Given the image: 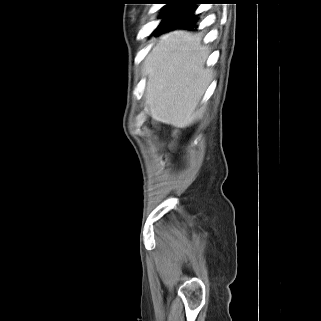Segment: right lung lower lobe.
Instances as JSON below:
<instances>
[{"label": "right lung lower lobe", "mask_w": 321, "mask_h": 321, "mask_svg": "<svg viewBox=\"0 0 321 321\" xmlns=\"http://www.w3.org/2000/svg\"><path fill=\"white\" fill-rule=\"evenodd\" d=\"M196 6H177L171 10L161 21L156 28L154 35L176 29L186 28L192 29L196 26L198 21L197 15H195Z\"/></svg>", "instance_id": "1"}]
</instances>
